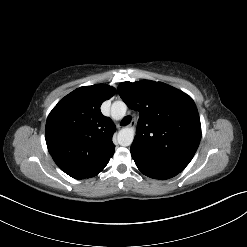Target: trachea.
Masks as SVG:
<instances>
[{
    "mask_svg": "<svg viewBox=\"0 0 247 247\" xmlns=\"http://www.w3.org/2000/svg\"><path fill=\"white\" fill-rule=\"evenodd\" d=\"M131 122V117L130 116H125L122 121L120 122L121 126L128 125Z\"/></svg>",
    "mask_w": 247,
    "mask_h": 247,
    "instance_id": "obj_1",
    "label": "trachea"
}]
</instances>
